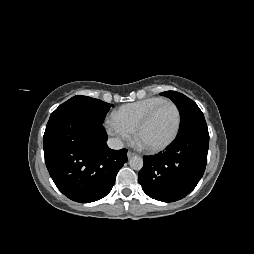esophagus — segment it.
<instances>
[{
  "instance_id": "34e87169",
  "label": "esophagus",
  "mask_w": 254,
  "mask_h": 254,
  "mask_svg": "<svg viewBox=\"0 0 254 254\" xmlns=\"http://www.w3.org/2000/svg\"><path fill=\"white\" fill-rule=\"evenodd\" d=\"M135 155H136V153H134V152H132V151H128V152H127V157H128V159L132 158V157L135 156Z\"/></svg>"
}]
</instances>
